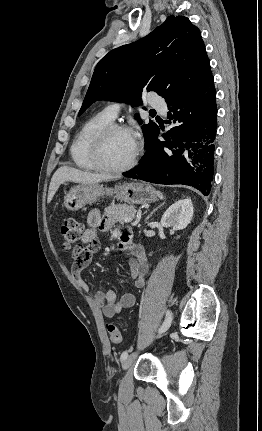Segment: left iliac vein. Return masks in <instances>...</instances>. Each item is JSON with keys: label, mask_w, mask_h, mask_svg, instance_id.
Segmentation results:
<instances>
[{"label": "left iliac vein", "mask_w": 262, "mask_h": 431, "mask_svg": "<svg viewBox=\"0 0 262 431\" xmlns=\"http://www.w3.org/2000/svg\"><path fill=\"white\" fill-rule=\"evenodd\" d=\"M137 354L135 352L128 355L123 361H122V369L127 370L130 368V366L133 364Z\"/></svg>", "instance_id": "4c4485c4"}]
</instances>
